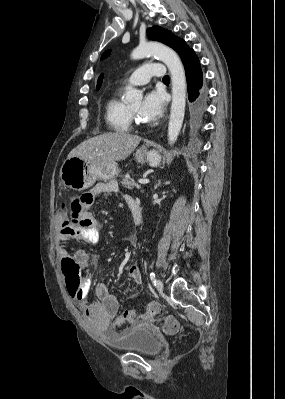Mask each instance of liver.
<instances>
[{
	"mask_svg": "<svg viewBox=\"0 0 285 399\" xmlns=\"http://www.w3.org/2000/svg\"><path fill=\"white\" fill-rule=\"evenodd\" d=\"M140 141V137L126 132H107L82 142L67 158L77 156L91 163L120 161L126 159Z\"/></svg>",
	"mask_w": 285,
	"mask_h": 399,
	"instance_id": "1",
	"label": "liver"
}]
</instances>
